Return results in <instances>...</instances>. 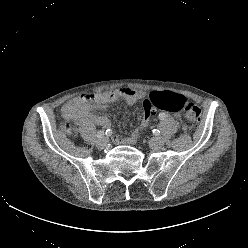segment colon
Segmentation results:
<instances>
[{
    "label": "colon",
    "mask_w": 248,
    "mask_h": 248,
    "mask_svg": "<svg viewBox=\"0 0 248 248\" xmlns=\"http://www.w3.org/2000/svg\"><path fill=\"white\" fill-rule=\"evenodd\" d=\"M156 110L183 112L185 118L193 127L199 124L202 116L201 109L182 95L169 91L153 92L143 103L142 130L148 127L150 119ZM64 129L67 132L71 131L68 124L64 125Z\"/></svg>",
    "instance_id": "colon-1"
}]
</instances>
